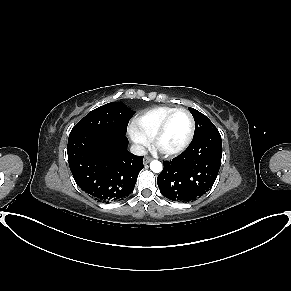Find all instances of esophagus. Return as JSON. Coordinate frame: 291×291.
Wrapping results in <instances>:
<instances>
[{
	"label": "esophagus",
	"instance_id": "obj_1",
	"mask_svg": "<svg viewBox=\"0 0 291 291\" xmlns=\"http://www.w3.org/2000/svg\"><path fill=\"white\" fill-rule=\"evenodd\" d=\"M151 160H152L151 157H148V156H145V157H144V163H145V164L149 163Z\"/></svg>",
	"mask_w": 291,
	"mask_h": 291
}]
</instances>
